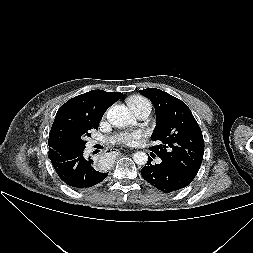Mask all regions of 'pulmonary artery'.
Masks as SVG:
<instances>
[{
	"label": "pulmonary artery",
	"instance_id": "pulmonary-artery-1",
	"mask_svg": "<svg viewBox=\"0 0 253 253\" xmlns=\"http://www.w3.org/2000/svg\"><path fill=\"white\" fill-rule=\"evenodd\" d=\"M131 110L138 119L143 120L149 116V114L151 113L152 107H151V104H144L137 107H132ZM92 145L93 143L90 144V146ZM158 162H160V160H158Z\"/></svg>",
	"mask_w": 253,
	"mask_h": 253
}]
</instances>
